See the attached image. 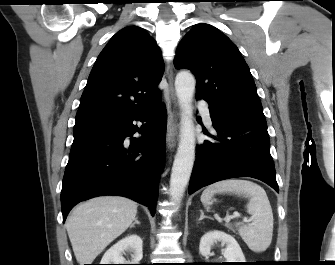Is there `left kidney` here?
I'll use <instances>...</instances> for the list:
<instances>
[{
  "mask_svg": "<svg viewBox=\"0 0 335 265\" xmlns=\"http://www.w3.org/2000/svg\"><path fill=\"white\" fill-rule=\"evenodd\" d=\"M217 242L226 245L223 250L226 262H245L243 252L236 239L222 231H210L204 234L200 240L199 252L202 256L208 257L211 254V248Z\"/></svg>",
  "mask_w": 335,
  "mask_h": 265,
  "instance_id": "1",
  "label": "left kidney"
}]
</instances>
